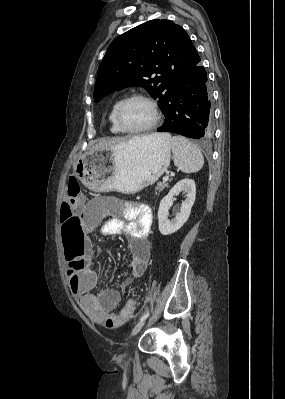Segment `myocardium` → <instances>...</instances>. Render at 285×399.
Segmentation results:
<instances>
[{
	"label": "myocardium",
	"mask_w": 285,
	"mask_h": 399,
	"mask_svg": "<svg viewBox=\"0 0 285 399\" xmlns=\"http://www.w3.org/2000/svg\"><path fill=\"white\" fill-rule=\"evenodd\" d=\"M133 100H143V101L147 102L152 107L154 117H153L152 121L150 123H148L147 125L139 127V128H129V127L125 126V124L123 123V120H122L123 109L129 102H131ZM160 119H161V113H160V109H159L156 101L153 98H151L150 96L145 95V94H132V95L124 98L120 102V104L118 105V107L116 109V123H117L118 127L126 133L147 132V131L153 129L155 126H157L158 123L160 122Z\"/></svg>",
	"instance_id": "1"
}]
</instances>
